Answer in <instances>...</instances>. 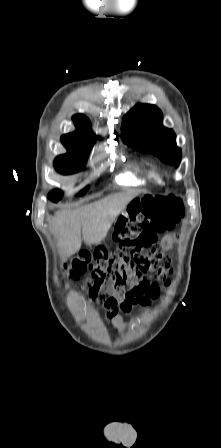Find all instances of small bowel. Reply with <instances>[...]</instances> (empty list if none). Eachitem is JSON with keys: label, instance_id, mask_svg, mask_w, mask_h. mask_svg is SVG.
Listing matches in <instances>:
<instances>
[{"label": "small bowel", "instance_id": "obj_1", "mask_svg": "<svg viewBox=\"0 0 221 448\" xmlns=\"http://www.w3.org/2000/svg\"><path fill=\"white\" fill-rule=\"evenodd\" d=\"M178 239L177 235L170 233L161 240V249L168 251ZM101 304L106 310V318L120 328H125V321L119 316L120 311H129L130 303L125 298L121 290H111L101 297Z\"/></svg>", "mask_w": 221, "mask_h": 448}]
</instances>
